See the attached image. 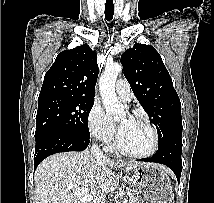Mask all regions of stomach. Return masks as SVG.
Segmentation results:
<instances>
[{"label": "stomach", "mask_w": 214, "mask_h": 203, "mask_svg": "<svg viewBox=\"0 0 214 203\" xmlns=\"http://www.w3.org/2000/svg\"><path fill=\"white\" fill-rule=\"evenodd\" d=\"M127 178L138 203H172V186L162 166L142 164L127 172Z\"/></svg>", "instance_id": "stomach-1"}]
</instances>
